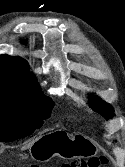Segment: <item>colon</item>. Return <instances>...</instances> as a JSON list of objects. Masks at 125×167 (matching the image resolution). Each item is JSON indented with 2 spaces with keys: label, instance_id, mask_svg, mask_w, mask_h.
Masks as SVG:
<instances>
[{
  "label": "colon",
  "instance_id": "5ec220e1",
  "mask_svg": "<svg viewBox=\"0 0 125 167\" xmlns=\"http://www.w3.org/2000/svg\"><path fill=\"white\" fill-rule=\"evenodd\" d=\"M105 156H94L88 160L77 159L68 163H63L60 167H103L107 163Z\"/></svg>",
  "mask_w": 125,
  "mask_h": 167
}]
</instances>
